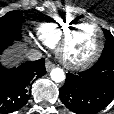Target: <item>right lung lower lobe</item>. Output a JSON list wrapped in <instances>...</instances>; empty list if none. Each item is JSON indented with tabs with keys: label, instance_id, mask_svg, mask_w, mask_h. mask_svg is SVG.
<instances>
[{
	"label": "right lung lower lobe",
	"instance_id": "98d812e1",
	"mask_svg": "<svg viewBox=\"0 0 114 114\" xmlns=\"http://www.w3.org/2000/svg\"><path fill=\"white\" fill-rule=\"evenodd\" d=\"M12 41L0 40V53ZM46 73L45 60L26 62L7 70L0 65V114L18 111L30 97L31 84Z\"/></svg>",
	"mask_w": 114,
	"mask_h": 114
}]
</instances>
